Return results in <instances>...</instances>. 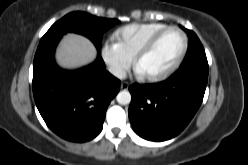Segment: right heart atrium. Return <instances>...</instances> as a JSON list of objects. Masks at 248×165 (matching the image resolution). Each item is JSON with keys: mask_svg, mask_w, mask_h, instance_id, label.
<instances>
[{"mask_svg": "<svg viewBox=\"0 0 248 165\" xmlns=\"http://www.w3.org/2000/svg\"><path fill=\"white\" fill-rule=\"evenodd\" d=\"M101 54L108 70L117 78H123L132 65V58L116 41L105 42Z\"/></svg>", "mask_w": 248, "mask_h": 165, "instance_id": "d8ad5b80", "label": "right heart atrium"}]
</instances>
